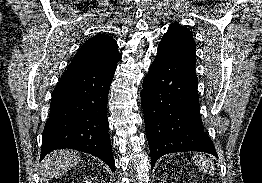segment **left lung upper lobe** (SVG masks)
Instances as JSON below:
<instances>
[{
  "label": "left lung upper lobe",
  "mask_w": 262,
  "mask_h": 183,
  "mask_svg": "<svg viewBox=\"0 0 262 183\" xmlns=\"http://www.w3.org/2000/svg\"><path fill=\"white\" fill-rule=\"evenodd\" d=\"M158 51L196 63V44L190 30L173 23L158 46Z\"/></svg>",
  "instance_id": "left-lung-upper-lobe-1"
}]
</instances>
